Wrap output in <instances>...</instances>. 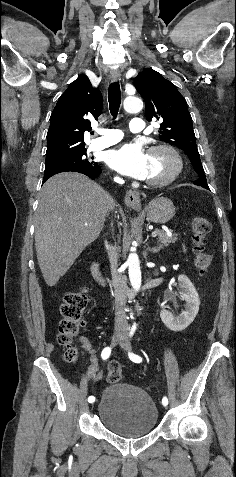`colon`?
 Listing matches in <instances>:
<instances>
[{
    "label": "colon",
    "mask_w": 236,
    "mask_h": 477,
    "mask_svg": "<svg viewBox=\"0 0 236 477\" xmlns=\"http://www.w3.org/2000/svg\"><path fill=\"white\" fill-rule=\"evenodd\" d=\"M211 231L210 221L202 216L193 220L192 241L194 243V264L201 273H205L212 262V256L204 251L203 245ZM88 298L84 289L67 293L59 307L61 321L57 334V342L65 348V359L68 362H76L79 359V349L75 344L81 328L85 325L84 314L87 310ZM121 380V368L117 361L109 365L107 381L110 384Z\"/></svg>",
    "instance_id": "obj_1"
}]
</instances>
